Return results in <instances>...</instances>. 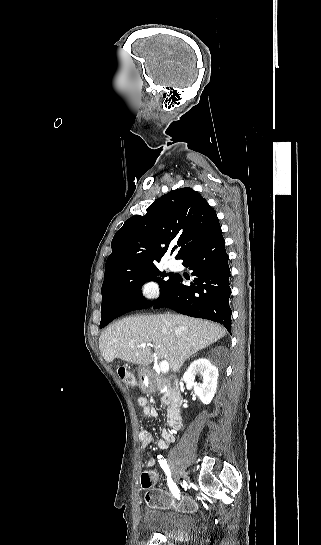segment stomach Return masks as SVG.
Returning <instances> with one entry per match:
<instances>
[{"label": "stomach", "instance_id": "obj_1", "mask_svg": "<svg viewBox=\"0 0 321 545\" xmlns=\"http://www.w3.org/2000/svg\"><path fill=\"white\" fill-rule=\"evenodd\" d=\"M137 371H138L141 387H142V389H144L142 379H143V377H147L146 373H148L149 369H148V367H142V365H140V367H138Z\"/></svg>", "mask_w": 321, "mask_h": 545}]
</instances>
